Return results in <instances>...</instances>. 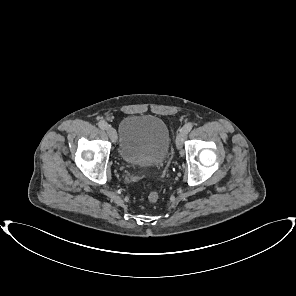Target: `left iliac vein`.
<instances>
[{"label":"left iliac vein","instance_id":"1","mask_svg":"<svg viewBox=\"0 0 296 296\" xmlns=\"http://www.w3.org/2000/svg\"><path fill=\"white\" fill-rule=\"evenodd\" d=\"M188 132H186L185 130L181 129L180 132L178 133L177 137H176V147L178 149H181L184 143V140L187 137Z\"/></svg>","mask_w":296,"mask_h":296}]
</instances>
